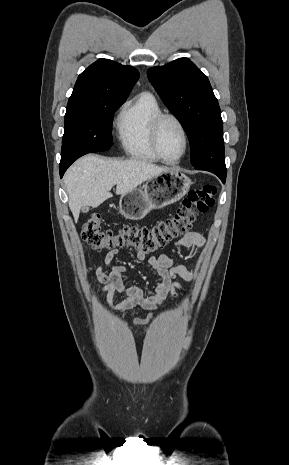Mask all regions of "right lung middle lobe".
Here are the masks:
<instances>
[{"mask_svg": "<svg viewBox=\"0 0 289 465\" xmlns=\"http://www.w3.org/2000/svg\"><path fill=\"white\" fill-rule=\"evenodd\" d=\"M124 102L114 100L95 106L86 114L65 115L61 161L107 150L112 145V114Z\"/></svg>", "mask_w": 289, "mask_h": 465, "instance_id": "obj_1", "label": "right lung middle lobe"}]
</instances>
